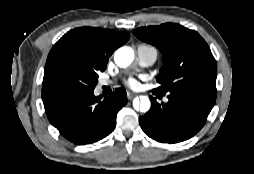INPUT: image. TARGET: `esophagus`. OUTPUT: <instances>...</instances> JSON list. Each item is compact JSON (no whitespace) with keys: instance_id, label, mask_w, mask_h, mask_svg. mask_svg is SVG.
<instances>
[{"instance_id":"34e87169","label":"esophagus","mask_w":254,"mask_h":174,"mask_svg":"<svg viewBox=\"0 0 254 174\" xmlns=\"http://www.w3.org/2000/svg\"><path fill=\"white\" fill-rule=\"evenodd\" d=\"M135 96H137V95L134 94V93H131V92L127 93V97H128L129 100H132Z\"/></svg>"}]
</instances>
